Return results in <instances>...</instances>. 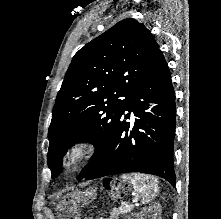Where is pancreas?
<instances>
[{
	"label": "pancreas",
	"mask_w": 221,
	"mask_h": 219,
	"mask_svg": "<svg viewBox=\"0 0 221 219\" xmlns=\"http://www.w3.org/2000/svg\"><path fill=\"white\" fill-rule=\"evenodd\" d=\"M131 211V207L128 206H121L119 208H113L112 211L110 212V218L109 219H119L120 215H125L128 212Z\"/></svg>",
	"instance_id": "pancreas-1"
}]
</instances>
